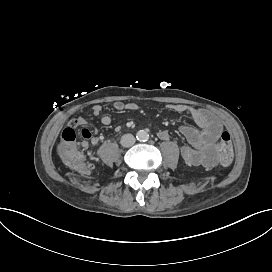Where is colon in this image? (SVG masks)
<instances>
[{
  "instance_id": "1",
  "label": "colon",
  "mask_w": 272,
  "mask_h": 272,
  "mask_svg": "<svg viewBox=\"0 0 272 272\" xmlns=\"http://www.w3.org/2000/svg\"><path fill=\"white\" fill-rule=\"evenodd\" d=\"M211 154L218 157L222 164H230L232 162L234 150L229 133H221L219 142ZM58 158L62 162H66V165L72 171L85 172V158L76 147V133L72 129H63L59 133Z\"/></svg>"
}]
</instances>
